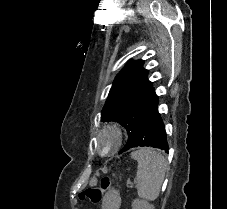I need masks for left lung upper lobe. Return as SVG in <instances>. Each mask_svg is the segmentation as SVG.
Instances as JSON below:
<instances>
[{"label":"left lung upper lobe","instance_id":"obj_1","mask_svg":"<svg viewBox=\"0 0 227 209\" xmlns=\"http://www.w3.org/2000/svg\"><path fill=\"white\" fill-rule=\"evenodd\" d=\"M143 63L135 60L126 64L116 76L101 112L103 122H119L127 130V144L119 153L128 149L143 116L158 99Z\"/></svg>","mask_w":227,"mask_h":209}]
</instances>
